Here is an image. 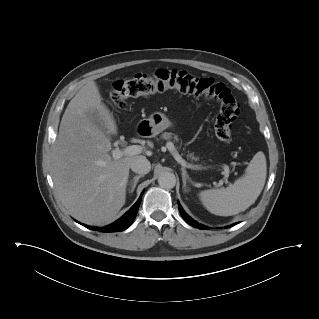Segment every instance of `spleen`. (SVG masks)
<instances>
[{"mask_svg": "<svg viewBox=\"0 0 319 319\" xmlns=\"http://www.w3.org/2000/svg\"><path fill=\"white\" fill-rule=\"evenodd\" d=\"M266 175V158L259 151L250 161L243 177L227 188L201 191L200 200L212 214L236 215L254 204L263 190Z\"/></svg>", "mask_w": 319, "mask_h": 319, "instance_id": "1", "label": "spleen"}]
</instances>
